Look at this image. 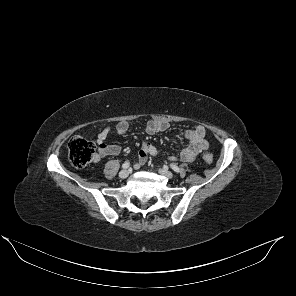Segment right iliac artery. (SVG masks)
Listing matches in <instances>:
<instances>
[{"mask_svg":"<svg viewBox=\"0 0 296 296\" xmlns=\"http://www.w3.org/2000/svg\"><path fill=\"white\" fill-rule=\"evenodd\" d=\"M130 166L129 162H125L122 164L123 169H127Z\"/></svg>","mask_w":296,"mask_h":296,"instance_id":"obj_1","label":"right iliac artery"}]
</instances>
